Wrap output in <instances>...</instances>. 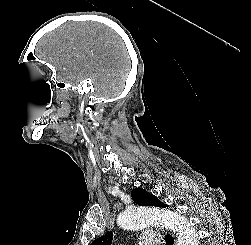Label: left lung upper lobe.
Instances as JSON below:
<instances>
[{"instance_id": "5c2ea615", "label": "left lung upper lobe", "mask_w": 251, "mask_h": 245, "mask_svg": "<svg viewBox=\"0 0 251 245\" xmlns=\"http://www.w3.org/2000/svg\"><path fill=\"white\" fill-rule=\"evenodd\" d=\"M131 197L140 206L168 207L156 196L142 188H135L131 193ZM112 239V232H107L104 236L95 239L90 245H111Z\"/></svg>"}]
</instances>
